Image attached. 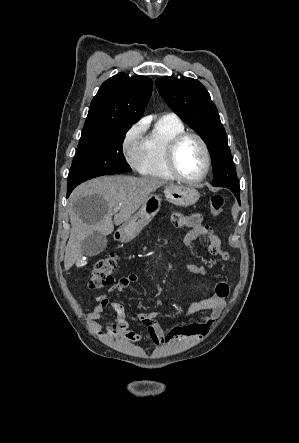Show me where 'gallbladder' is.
Here are the masks:
<instances>
[{
    "instance_id": "bac80fb5",
    "label": "gallbladder",
    "mask_w": 299,
    "mask_h": 443,
    "mask_svg": "<svg viewBox=\"0 0 299 443\" xmlns=\"http://www.w3.org/2000/svg\"><path fill=\"white\" fill-rule=\"evenodd\" d=\"M107 238L99 232L85 238L81 245L82 252L87 257L100 254L107 246Z\"/></svg>"
}]
</instances>
